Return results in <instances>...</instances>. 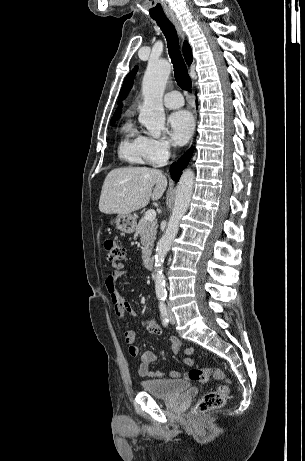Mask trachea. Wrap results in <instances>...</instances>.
Instances as JSON below:
<instances>
[{
    "label": "trachea",
    "mask_w": 305,
    "mask_h": 461,
    "mask_svg": "<svg viewBox=\"0 0 305 461\" xmlns=\"http://www.w3.org/2000/svg\"><path fill=\"white\" fill-rule=\"evenodd\" d=\"M153 19L157 22L158 26L161 28L166 37L169 56L173 63L175 74L174 76L177 85L180 86L183 90L191 91V78L188 74L186 64L179 50V39L174 25L167 17Z\"/></svg>",
    "instance_id": "obj_1"
}]
</instances>
